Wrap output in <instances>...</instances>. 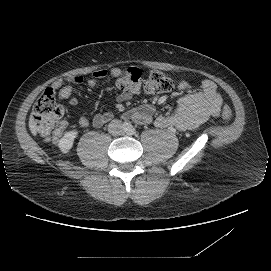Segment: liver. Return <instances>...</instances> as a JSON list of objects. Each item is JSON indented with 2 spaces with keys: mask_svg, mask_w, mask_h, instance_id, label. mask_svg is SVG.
<instances>
[{
  "mask_svg": "<svg viewBox=\"0 0 271 271\" xmlns=\"http://www.w3.org/2000/svg\"><path fill=\"white\" fill-rule=\"evenodd\" d=\"M30 128H31V131L32 132H36V127H35V125L32 123V120H30Z\"/></svg>",
  "mask_w": 271,
  "mask_h": 271,
  "instance_id": "obj_1",
  "label": "liver"
}]
</instances>
